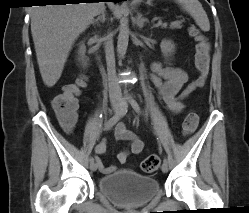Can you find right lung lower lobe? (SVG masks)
<instances>
[{
	"label": "right lung lower lobe",
	"instance_id": "1",
	"mask_svg": "<svg viewBox=\"0 0 249 213\" xmlns=\"http://www.w3.org/2000/svg\"><path fill=\"white\" fill-rule=\"evenodd\" d=\"M43 3H54V4H66V3H78L81 1H94V0H44ZM98 1V0H97ZM103 1H110V2H119L123 0H103ZM93 3V2H92Z\"/></svg>",
	"mask_w": 249,
	"mask_h": 213
}]
</instances>
